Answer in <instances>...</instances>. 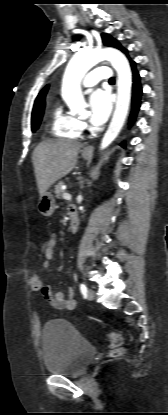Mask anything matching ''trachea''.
Returning a JSON list of instances; mask_svg holds the SVG:
<instances>
[{"label": "trachea", "instance_id": "3493384b", "mask_svg": "<svg viewBox=\"0 0 168 415\" xmlns=\"http://www.w3.org/2000/svg\"><path fill=\"white\" fill-rule=\"evenodd\" d=\"M115 81V79L112 77L110 78L109 82L113 83Z\"/></svg>", "mask_w": 168, "mask_h": 415}]
</instances>
